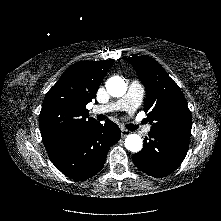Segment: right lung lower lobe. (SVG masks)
<instances>
[{"instance_id":"right-lung-lower-lobe-1","label":"right lung lower lobe","mask_w":221,"mask_h":221,"mask_svg":"<svg viewBox=\"0 0 221 221\" xmlns=\"http://www.w3.org/2000/svg\"><path fill=\"white\" fill-rule=\"evenodd\" d=\"M121 137L119 127L106 120L90 124L68 143L48 153L52 163L64 175L75 180H86L103 167L109 148Z\"/></svg>"}]
</instances>
